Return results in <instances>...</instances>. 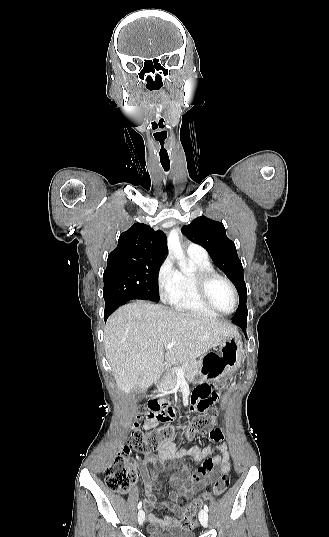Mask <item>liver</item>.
Listing matches in <instances>:
<instances>
[{"mask_svg":"<svg viewBox=\"0 0 329 537\" xmlns=\"http://www.w3.org/2000/svg\"><path fill=\"white\" fill-rule=\"evenodd\" d=\"M237 334L230 323L135 301L118 308L104 330V349L117 387L146 392L169 364L193 361ZM174 343L165 352L166 345Z\"/></svg>","mask_w":329,"mask_h":537,"instance_id":"1","label":"liver"}]
</instances>
